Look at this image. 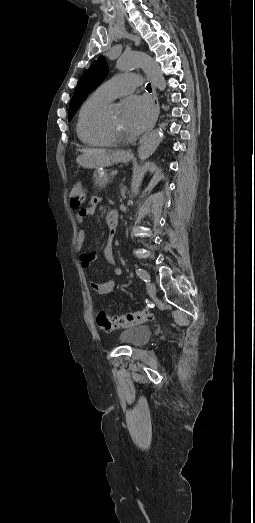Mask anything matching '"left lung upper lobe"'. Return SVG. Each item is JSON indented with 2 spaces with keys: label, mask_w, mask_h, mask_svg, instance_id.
Listing matches in <instances>:
<instances>
[{
  "label": "left lung upper lobe",
  "mask_w": 255,
  "mask_h": 523,
  "mask_svg": "<svg viewBox=\"0 0 255 523\" xmlns=\"http://www.w3.org/2000/svg\"><path fill=\"white\" fill-rule=\"evenodd\" d=\"M107 62L103 56L99 57L80 79L70 102L68 121H70L86 99L88 94L99 86L107 75Z\"/></svg>",
  "instance_id": "5c2ea615"
}]
</instances>
